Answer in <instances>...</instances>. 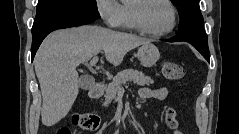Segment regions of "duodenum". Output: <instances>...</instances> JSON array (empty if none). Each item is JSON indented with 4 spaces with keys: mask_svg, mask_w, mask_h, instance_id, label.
Returning a JSON list of instances; mask_svg holds the SVG:
<instances>
[{
    "mask_svg": "<svg viewBox=\"0 0 239 134\" xmlns=\"http://www.w3.org/2000/svg\"><path fill=\"white\" fill-rule=\"evenodd\" d=\"M103 87V82L101 80H97L89 90L90 97L93 99L100 97L103 92Z\"/></svg>",
    "mask_w": 239,
    "mask_h": 134,
    "instance_id": "410a0bca",
    "label": "duodenum"
}]
</instances>
